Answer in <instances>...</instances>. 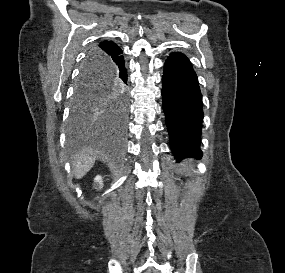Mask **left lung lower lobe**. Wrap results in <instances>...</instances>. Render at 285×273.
<instances>
[{
  "mask_svg": "<svg viewBox=\"0 0 285 273\" xmlns=\"http://www.w3.org/2000/svg\"><path fill=\"white\" fill-rule=\"evenodd\" d=\"M162 86L163 109L174 156L177 160L201 158L202 95L196 73L185 55L174 52L168 57Z\"/></svg>",
  "mask_w": 285,
  "mask_h": 273,
  "instance_id": "obj_1",
  "label": "left lung lower lobe"
}]
</instances>
